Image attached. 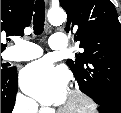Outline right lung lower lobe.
Here are the masks:
<instances>
[{
    "label": "right lung lower lobe",
    "mask_w": 121,
    "mask_h": 113,
    "mask_svg": "<svg viewBox=\"0 0 121 113\" xmlns=\"http://www.w3.org/2000/svg\"><path fill=\"white\" fill-rule=\"evenodd\" d=\"M17 70L10 68L1 74V113H11L16 99Z\"/></svg>",
    "instance_id": "obj_1"
}]
</instances>
